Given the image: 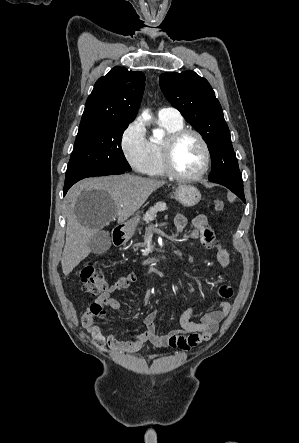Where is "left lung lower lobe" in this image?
<instances>
[{"label":"left lung lower lobe","instance_id":"0a47b994","mask_svg":"<svg viewBox=\"0 0 299 443\" xmlns=\"http://www.w3.org/2000/svg\"><path fill=\"white\" fill-rule=\"evenodd\" d=\"M213 183L221 184L228 189H230L234 194H236L243 202L245 201L243 184L235 183L227 180H210Z\"/></svg>","mask_w":299,"mask_h":443}]
</instances>
